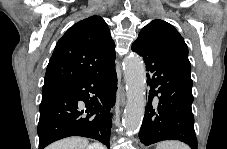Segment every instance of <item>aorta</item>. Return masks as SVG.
<instances>
[{"instance_id":"obj_1","label":"aorta","mask_w":227,"mask_h":149,"mask_svg":"<svg viewBox=\"0 0 227 149\" xmlns=\"http://www.w3.org/2000/svg\"><path fill=\"white\" fill-rule=\"evenodd\" d=\"M123 73L127 91L123 125L128 134H133L140 129L145 112L146 72L142 59L137 55L127 57Z\"/></svg>"}]
</instances>
